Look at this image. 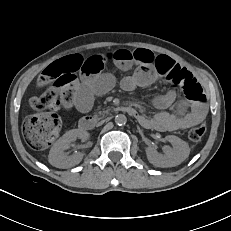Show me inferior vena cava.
I'll list each match as a JSON object with an SVG mask.
<instances>
[{
    "label": "inferior vena cava",
    "instance_id": "obj_1",
    "mask_svg": "<svg viewBox=\"0 0 231 231\" xmlns=\"http://www.w3.org/2000/svg\"><path fill=\"white\" fill-rule=\"evenodd\" d=\"M108 122V117L101 118V122L96 123V128H101L103 123Z\"/></svg>",
    "mask_w": 231,
    "mask_h": 231
}]
</instances>
